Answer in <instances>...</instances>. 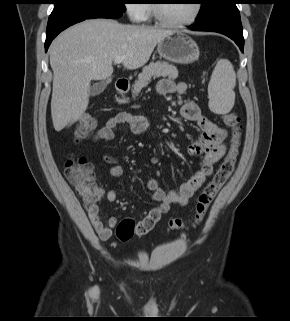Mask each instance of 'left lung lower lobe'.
<instances>
[{"label":"left lung lower lobe","mask_w":290,"mask_h":321,"mask_svg":"<svg viewBox=\"0 0 290 321\" xmlns=\"http://www.w3.org/2000/svg\"><path fill=\"white\" fill-rule=\"evenodd\" d=\"M237 3L238 1L232 2L214 16L202 21H196V24L189 28L193 31H212L224 34L234 40L243 52V29L240 13L236 7Z\"/></svg>","instance_id":"left-lung-lower-lobe-1"}]
</instances>
